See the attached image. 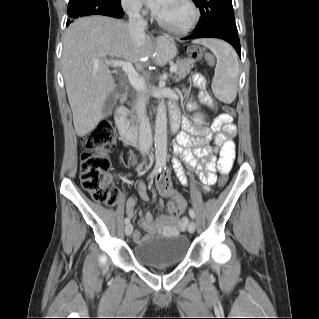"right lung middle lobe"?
Instances as JSON below:
<instances>
[{
	"label": "right lung middle lobe",
	"mask_w": 319,
	"mask_h": 319,
	"mask_svg": "<svg viewBox=\"0 0 319 319\" xmlns=\"http://www.w3.org/2000/svg\"><path fill=\"white\" fill-rule=\"evenodd\" d=\"M120 6V0H69L67 25L78 17L113 12Z\"/></svg>",
	"instance_id": "obj_1"
}]
</instances>
